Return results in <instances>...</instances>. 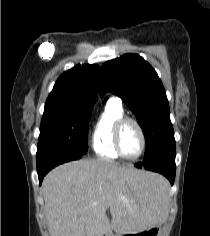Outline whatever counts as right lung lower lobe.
Instances as JSON below:
<instances>
[{"label": "right lung lower lobe", "instance_id": "right-lung-lower-lobe-1", "mask_svg": "<svg viewBox=\"0 0 210 236\" xmlns=\"http://www.w3.org/2000/svg\"><path fill=\"white\" fill-rule=\"evenodd\" d=\"M82 155L62 152V151H49L42 154H37V172L40 184L44 176L55 166L64 162L80 159Z\"/></svg>", "mask_w": 210, "mask_h": 236}]
</instances>
